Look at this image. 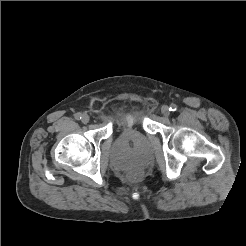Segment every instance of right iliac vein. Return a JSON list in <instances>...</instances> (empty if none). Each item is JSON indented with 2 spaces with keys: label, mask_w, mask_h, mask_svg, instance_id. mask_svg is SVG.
Listing matches in <instances>:
<instances>
[{
  "label": "right iliac vein",
  "mask_w": 246,
  "mask_h": 246,
  "mask_svg": "<svg viewBox=\"0 0 246 246\" xmlns=\"http://www.w3.org/2000/svg\"><path fill=\"white\" fill-rule=\"evenodd\" d=\"M89 120H90V117L87 114L82 115V117H81L82 123L87 124L89 122Z\"/></svg>",
  "instance_id": "right-iliac-vein-1"
}]
</instances>
